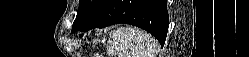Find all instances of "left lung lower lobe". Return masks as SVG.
Masks as SVG:
<instances>
[{"instance_id": "left-lung-lower-lobe-1", "label": "left lung lower lobe", "mask_w": 249, "mask_h": 57, "mask_svg": "<svg viewBox=\"0 0 249 57\" xmlns=\"http://www.w3.org/2000/svg\"><path fill=\"white\" fill-rule=\"evenodd\" d=\"M168 20L166 0H107L95 15L73 31L127 23L151 33L163 47Z\"/></svg>"}]
</instances>
